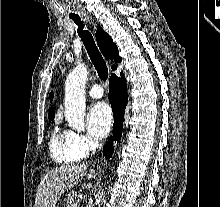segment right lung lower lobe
<instances>
[{"label": "right lung lower lobe", "instance_id": "obj_1", "mask_svg": "<svg viewBox=\"0 0 220 207\" xmlns=\"http://www.w3.org/2000/svg\"><path fill=\"white\" fill-rule=\"evenodd\" d=\"M121 61V60H120ZM119 61V62H120ZM114 66L113 69H116ZM121 77H117L112 74L109 80V100L114 113V125H113V137L104 146V155L109 159L113 153L112 143L113 140L120 141L122 134V125L124 112L128 101L126 81L124 79L123 73L121 72Z\"/></svg>", "mask_w": 220, "mask_h": 207}]
</instances>
